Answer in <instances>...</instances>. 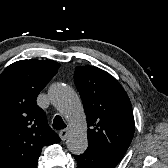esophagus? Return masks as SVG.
<instances>
[{"label": "esophagus", "instance_id": "1", "mask_svg": "<svg viewBox=\"0 0 168 168\" xmlns=\"http://www.w3.org/2000/svg\"><path fill=\"white\" fill-rule=\"evenodd\" d=\"M68 135H69V129L68 128H65V129H63L59 132V136H60L62 141H65L67 139Z\"/></svg>", "mask_w": 168, "mask_h": 168}]
</instances>
